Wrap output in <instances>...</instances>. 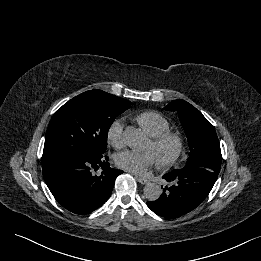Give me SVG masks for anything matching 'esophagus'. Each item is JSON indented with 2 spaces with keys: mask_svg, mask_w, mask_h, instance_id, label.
Wrapping results in <instances>:
<instances>
[{
  "mask_svg": "<svg viewBox=\"0 0 261 261\" xmlns=\"http://www.w3.org/2000/svg\"><path fill=\"white\" fill-rule=\"evenodd\" d=\"M137 181L141 184H147L148 180L142 177H136Z\"/></svg>",
  "mask_w": 261,
  "mask_h": 261,
  "instance_id": "obj_1",
  "label": "esophagus"
}]
</instances>
